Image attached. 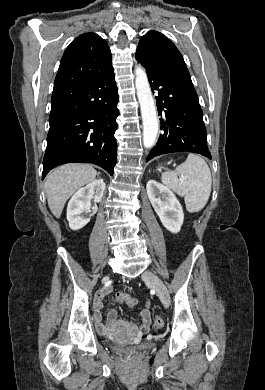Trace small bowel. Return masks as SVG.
Wrapping results in <instances>:
<instances>
[{
    "mask_svg": "<svg viewBox=\"0 0 265 390\" xmlns=\"http://www.w3.org/2000/svg\"><path fill=\"white\" fill-rule=\"evenodd\" d=\"M101 308L102 304L100 300H97L95 303V318L97 320L98 326L101 330L105 331V326L101 322L102 316H101ZM139 316L142 321V325L140 326V332L146 333L151 325V316L149 311V304L146 302V304L139 309ZM117 319L116 312L114 310L109 311L108 313V321L110 323H114Z\"/></svg>",
    "mask_w": 265,
    "mask_h": 390,
    "instance_id": "c3829d8e",
    "label": "small bowel"
}]
</instances>
